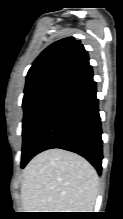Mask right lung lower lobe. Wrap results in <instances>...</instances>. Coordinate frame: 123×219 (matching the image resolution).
<instances>
[{
	"mask_svg": "<svg viewBox=\"0 0 123 219\" xmlns=\"http://www.w3.org/2000/svg\"><path fill=\"white\" fill-rule=\"evenodd\" d=\"M96 92L92 68L70 80L42 124L32 157L61 148L83 156L101 174L103 141Z\"/></svg>",
	"mask_w": 123,
	"mask_h": 219,
	"instance_id": "1",
	"label": "right lung lower lobe"
}]
</instances>
